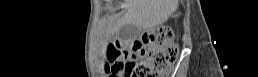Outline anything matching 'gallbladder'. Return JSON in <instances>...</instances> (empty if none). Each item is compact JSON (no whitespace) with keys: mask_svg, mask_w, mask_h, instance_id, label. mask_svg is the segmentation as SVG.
<instances>
[{"mask_svg":"<svg viewBox=\"0 0 258 77\" xmlns=\"http://www.w3.org/2000/svg\"><path fill=\"white\" fill-rule=\"evenodd\" d=\"M138 30L136 25L126 24L120 29L119 36L122 40L129 41L137 36Z\"/></svg>","mask_w":258,"mask_h":77,"instance_id":"obj_1","label":"gallbladder"}]
</instances>
